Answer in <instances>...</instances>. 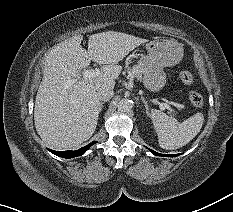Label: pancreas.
<instances>
[{
  "label": "pancreas",
  "instance_id": "obj_1",
  "mask_svg": "<svg viewBox=\"0 0 233 212\" xmlns=\"http://www.w3.org/2000/svg\"><path fill=\"white\" fill-rule=\"evenodd\" d=\"M142 71H143V69L139 65L134 66L132 69L127 68L128 75H129V77H132V78L141 77V72ZM170 114L174 115L172 112H170Z\"/></svg>",
  "mask_w": 233,
  "mask_h": 212
}]
</instances>
